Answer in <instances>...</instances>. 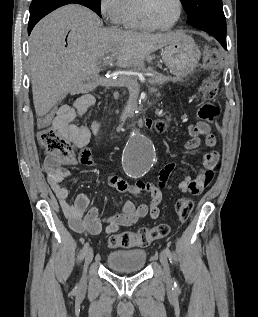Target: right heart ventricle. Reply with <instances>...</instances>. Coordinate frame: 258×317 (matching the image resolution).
Here are the masks:
<instances>
[{"instance_id": "right-heart-ventricle-1", "label": "right heart ventricle", "mask_w": 258, "mask_h": 317, "mask_svg": "<svg viewBox=\"0 0 258 317\" xmlns=\"http://www.w3.org/2000/svg\"><path fill=\"white\" fill-rule=\"evenodd\" d=\"M142 0H124L123 25L131 30H139L137 20L138 6Z\"/></svg>"}]
</instances>
